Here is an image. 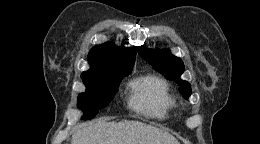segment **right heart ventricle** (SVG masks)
Returning <instances> with one entry per match:
<instances>
[{
    "mask_svg": "<svg viewBox=\"0 0 260 144\" xmlns=\"http://www.w3.org/2000/svg\"><path fill=\"white\" fill-rule=\"evenodd\" d=\"M129 104L133 110L147 117L165 120L176 102L165 80L156 75H145L130 82Z\"/></svg>",
    "mask_w": 260,
    "mask_h": 144,
    "instance_id": "e07e8e85",
    "label": "right heart ventricle"
}]
</instances>
